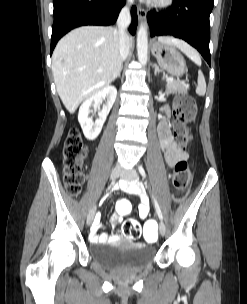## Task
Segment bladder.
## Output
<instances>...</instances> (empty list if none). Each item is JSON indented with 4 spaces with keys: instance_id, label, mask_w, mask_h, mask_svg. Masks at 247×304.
<instances>
[{
    "instance_id": "bladder-1",
    "label": "bladder",
    "mask_w": 247,
    "mask_h": 304,
    "mask_svg": "<svg viewBox=\"0 0 247 304\" xmlns=\"http://www.w3.org/2000/svg\"><path fill=\"white\" fill-rule=\"evenodd\" d=\"M89 255L105 268L140 269L154 259L156 249L137 243L103 242L90 245Z\"/></svg>"
}]
</instances>
